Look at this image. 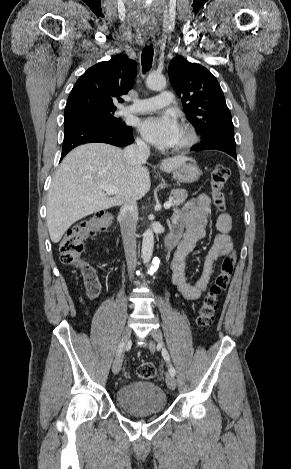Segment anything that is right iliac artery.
Instances as JSON below:
<instances>
[{"instance_id": "right-iliac-artery-1", "label": "right iliac artery", "mask_w": 291, "mask_h": 469, "mask_svg": "<svg viewBox=\"0 0 291 469\" xmlns=\"http://www.w3.org/2000/svg\"><path fill=\"white\" fill-rule=\"evenodd\" d=\"M123 348H124V344L121 342L117 350V356H119L122 353Z\"/></svg>"}]
</instances>
